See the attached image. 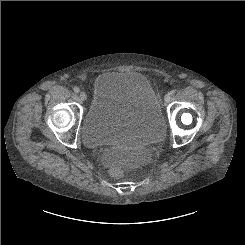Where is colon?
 Wrapping results in <instances>:
<instances>
[{
  "mask_svg": "<svg viewBox=\"0 0 245 245\" xmlns=\"http://www.w3.org/2000/svg\"><path fill=\"white\" fill-rule=\"evenodd\" d=\"M111 173L114 176L121 177L124 174V171L120 166H114L111 168Z\"/></svg>",
  "mask_w": 245,
  "mask_h": 245,
  "instance_id": "1",
  "label": "colon"
}]
</instances>
